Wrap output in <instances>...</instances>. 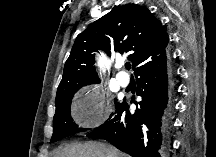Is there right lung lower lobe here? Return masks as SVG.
I'll return each mask as SVG.
<instances>
[{"label": "right lung lower lobe", "mask_w": 216, "mask_h": 157, "mask_svg": "<svg viewBox=\"0 0 216 157\" xmlns=\"http://www.w3.org/2000/svg\"><path fill=\"white\" fill-rule=\"evenodd\" d=\"M137 95L133 114L124 101L115 116L87 136L105 139L132 157H165L172 123L173 73L166 52L135 71ZM137 105V104H136Z\"/></svg>", "instance_id": "right-lung-lower-lobe-1"}]
</instances>
